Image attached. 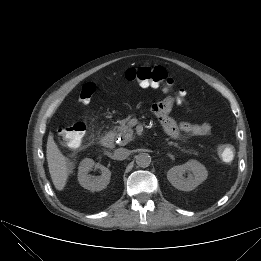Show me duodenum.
I'll list each match as a JSON object with an SVG mask.
<instances>
[{"label": "duodenum", "instance_id": "duodenum-1", "mask_svg": "<svg viewBox=\"0 0 261 261\" xmlns=\"http://www.w3.org/2000/svg\"><path fill=\"white\" fill-rule=\"evenodd\" d=\"M101 144L105 148H111L114 144V135L111 132L105 133L101 138Z\"/></svg>", "mask_w": 261, "mask_h": 261}]
</instances>
